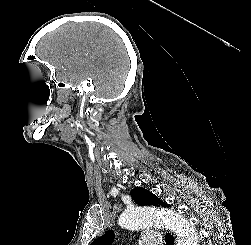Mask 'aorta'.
<instances>
[{
  "instance_id": "obj_1",
  "label": "aorta",
  "mask_w": 251,
  "mask_h": 245,
  "mask_svg": "<svg viewBox=\"0 0 251 245\" xmlns=\"http://www.w3.org/2000/svg\"><path fill=\"white\" fill-rule=\"evenodd\" d=\"M118 223L122 228L130 230L162 226L176 233V245H199L195 227L187 218L170 210L136 206L125 210L119 216Z\"/></svg>"
}]
</instances>
